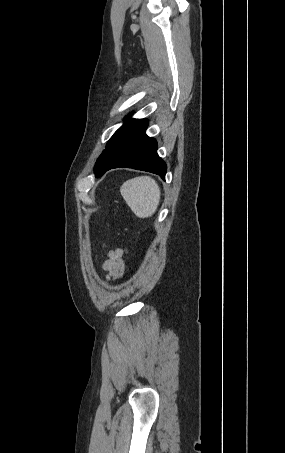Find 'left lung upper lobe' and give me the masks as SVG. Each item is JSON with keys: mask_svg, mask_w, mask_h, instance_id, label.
<instances>
[{"mask_svg": "<svg viewBox=\"0 0 285 453\" xmlns=\"http://www.w3.org/2000/svg\"><path fill=\"white\" fill-rule=\"evenodd\" d=\"M135 121V119H128L111 137L106 145V150L103 151L101 156L98 158L96 165H95V175L98 176L102 167L106 164L112 150L114 149L115 145L117 144L119 138L122 134L127 130V128Z\"/></svg>", "mask_w": 285, "mask_h": 453, "instance_id": "obj_1", "label": "left lung upper lobe"}]
</instances>
